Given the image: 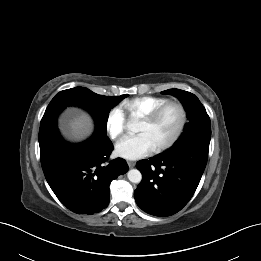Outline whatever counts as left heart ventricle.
Listing matches in <instances>:
<instances>
[{
  "label": "left heart ventricle",
  "instance_id": "1",
  "mask_svg": "<svg viewBox=\"0 0 261 261\" xmlns=\"http://www.w3.org/2000/svg\"><path fill=\"white\" fill-rule=\"evenodd\" d=\"M178 123V111L175 108H169L153 124H146L139 121L135 131L144 134L154 148L167 141L173 135Z\"/></svg>",
  "mask_w": 261,
  "mask_h": 261
}]
</instances>
